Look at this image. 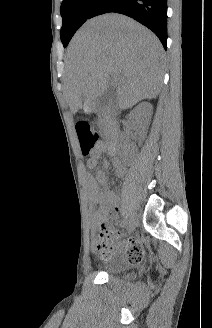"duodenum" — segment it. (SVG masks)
<instances>
[{
  "label": "duodenum",
  "mask_w": 212,
  "mask_h": 328,
  "mask_svg": "<svg viewBox=\"0 0 212 328\" xmlns=\"http://www.w3.org/2000/svg\"><path fill=\"white\" fill-rule=\"evenodd\" d=\"M103 116L107 122L106 128L108 133L106 150H108L112 154H115L119 146V130L115 121V116L109 110L104 111Z\"/></svg>",
  "instance_id": "1"
}]
</instances>
